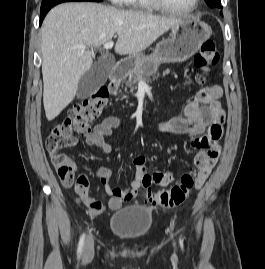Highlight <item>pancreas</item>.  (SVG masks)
<instances>
[{"label":"pancreas","mask_w":265,"mask_h":269,"mask_svg":"<svg viewBox=\"0 0 265 269\" xmlns=\"http://www.w3.org/2000/svg\"><path fill=\"white\" fill-rule=\"evenodd\" d=\"M170 70L167 69L164 71L163 75L169 74ZM159 74L154 75L153 79H155L156 77H158ZM150 77L148 76H144L139 74L138 72L135 71H130L128 74V79L125 81V84L127 87H130L132 90L136 88V84L139 81H150ZM122 83L121 80H118L117 82L114 83L115 89L117 90L120 87V84Z\"/></svg>","instance_id":"1"}]
</instances>
